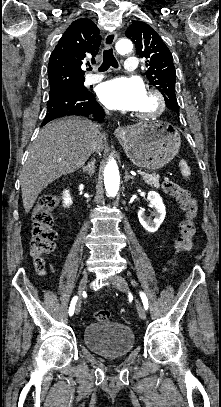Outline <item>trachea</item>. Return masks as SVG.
<instances>
[{"instance_id":"3493384b","label":"trachea","mask_w":221,"mask_h":407,"mask_svg":"<svg viewBox=\"0 0 221 407\" xmlns=\"http://www.w3.org/2000/svg\"><path fill=\"white\" fill-rule=\"evenodd\" d=\"M110 66L117 68L118 67V63L117 60L115 59L114 55H113V50L111 49H106L104 50L103 53V63L99 68L100 72H104L106 71ZM88 70H92L91 67L88 68Z\"/></svg>"}]
</instances>
